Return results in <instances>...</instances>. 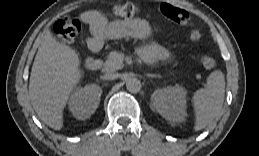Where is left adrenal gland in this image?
Segmentation results:
<instances>
[{
	"mask_svg": "<svg viewBox=\"0 0 259 156\" xmlns=\"http://www.w3.org/2000/svg\"><path fill=\"white\" fill-rule=\"evenodd\" d=\"M147 77L160 78V75H157V74H147Z\"/></svg>",
	"mask_w": 259,
	"mask_h": 156,
	"instance_id": "left-adrenal-gland-1",
	"label": "left adrenal gland"
}]
</instances>
